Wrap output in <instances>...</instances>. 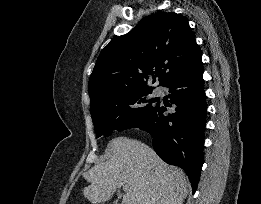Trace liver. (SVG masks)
Masks as SVG:
<instances>
[{"mask_svg":"<svg viewBox=\"0 0 261 204\" xmlns=\"http://www.w3.org/2000/svg\"><path fill=\"white\" fill-rule=\"evenodd\" d=\"M106 154V161L84 174L90 185L83 194L93 204L108 201L123 185L128 190L122 204H183L189 187L185 173L166 164L145 143L116 137Z\"/></svg>","mask_w":261,"mask_h":204,"instance_id":"1","label":"liver"}]
</instances>
